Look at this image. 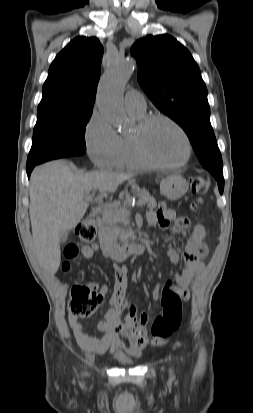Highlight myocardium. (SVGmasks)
Instances as JSON below:
<instances>
[{"mask_svg": "<svg viewBox=\"0 0 253 413\" xmlns=\"http://www.w3.org/2000/svg\"><path fill=\"white\" fill-rule=\"evenodd\" d=\"M159 121H164L169 123L171 126H173L183 137L185 146H186V153L184 158L177 163L173 164H167L160 162L156 160L149 152L147 145H146V134L148 130L156 123ZM134 142L137 148V151L141 158L151 167L158 168V169H177L180 168L188 163L190 160L191 154H192V144L191 140L187 134V132L184 130V128L176 122L174 119H172L169 116L162 115V114H155V115H150L146 116L144 119H142L137 126L136 132L134 134Z\"/></svg>", "mask_w": 253, "mask_h": 413, "instance_id": "myocardium-1", "label": "myocardium"}]
</instances>
